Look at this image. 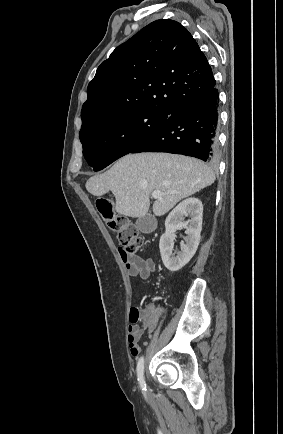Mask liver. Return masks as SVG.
Instances as JSON below:
<instances>
[{
  "instance_id": "6515ba94",
  "label": "liver",
  "mask_w": 283,
  "mask_h": 434,
  "mask_svg": "<svg viewBox=\"0 0 283 434\" xmlns=\"http://www.w3.org/2000/svg\"><path fill=\"white\" fill-rule=\"evenodd\" d=\"M214 181L212 169L198 159L169 153H138L120 158L105 173L90 177L85 186L94 196L111 191L119 214L140 218L148 213L153 191L162 193L153 204L154 215L162 216L180 200Z\"/></svg>"
}]
</instances>
